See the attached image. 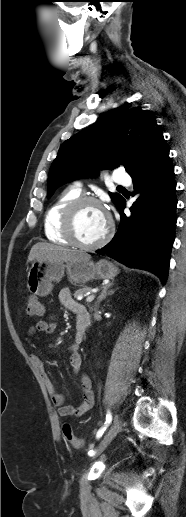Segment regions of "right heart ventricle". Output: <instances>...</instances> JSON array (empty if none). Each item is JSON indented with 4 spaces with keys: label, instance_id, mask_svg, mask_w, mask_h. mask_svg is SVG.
<instances>
[{
    "label": "right heart ventricle",
    "instance_id": "right-heart-ventricle-1",
    "mask_svg": "<svg viewBox=\"0 0 186 517\" xmlns=\"http://www.w3.org/2000/svg\"><path fill=\"white\" fill-rule=\"evenodd\" d=\"M80 197V191L69 187L63 190L50 204L44 216V233L46 238L58 244H70L63 231V216L69 204Z\"/></svg>",
    "mask_w": 186,
    "mask_h": 517
}]
</instances>
